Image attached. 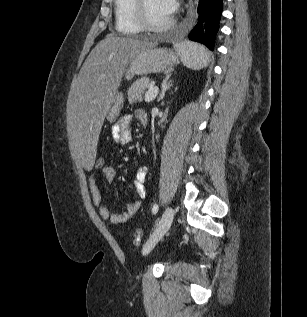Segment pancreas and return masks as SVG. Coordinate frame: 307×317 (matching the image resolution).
<instances>
[{
  "label": "pancreas",
  "instance_id": "obj_1",
  "mask_svg": "<svg viewBox=\"0 0 307 317\" xmlns=\"http://www.w3.org/2000/svg\"><path fill=\"white\" fill-rule=\"evenodd\" d=\"M148 77L137 79L127 91V99L130 104L142 102L146 86L149 84Z\"/></svg>",
  "mask_w": 307,
  "mask_h": 317
}]
</instances>
